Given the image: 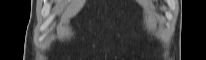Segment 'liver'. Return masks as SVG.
Returning <instances> with one entry per match:
<instances>
[{
  "mask_svg": "<svg viewBox=\"0 0 206 60\" xmlns=\"http://www.w3.org/2000/svg\"><path fill=\"white\" fill-rule=\"evenodd\" d=\"M56 6L62 5L64 3V0H56Z\"/></svg>",
  "mask_w": 206,
  "mask_h": 60,
  "instance_id": "1",
  "label": "liver"
}]
</instances>
